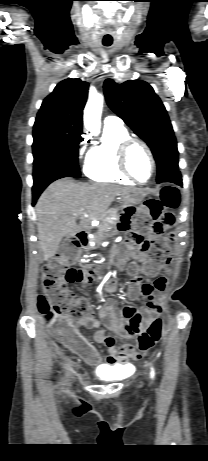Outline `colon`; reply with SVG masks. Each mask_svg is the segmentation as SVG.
Wrapping results in <instances>:
<instances>
[{"mask_svg":"<svg viewBox=\"0 0 208 461\" xmlns=\"http://www.w3.org/2000/svg\"><path fill=\"white\" fill-rule=\"evenodd\" d=\"M180 195L175 187H164L159 199H147L139 209V215L134 217L135 229L128 232L126 244L145 252L151 266L140 270L135 264L125 269L133 276L139 272L149 279L156 275L159 266L168 264L170 258L166 249L165 233L175 224V215L170 211L179 206ZM78 242L71 241L60 255L44 265L42 269V286L45 294L37 298L39 313L47 322L50 334L68 347H83L85 338L79 333L76 321L90 314L88 302L75 294L69 284L76 283L83 287L95 281L96 269L93 266H70L72 247ZM133 310L125 309V315L131 316ZM144 328L140 332L136 346L140 351L152 348L162 336V323L159 319H144Z\"/></svg>","mask_w":208,"mask_h":461,"instance_id":"colon-1","label":"colon"}]
</instances>
